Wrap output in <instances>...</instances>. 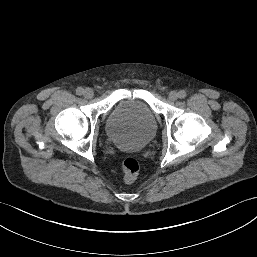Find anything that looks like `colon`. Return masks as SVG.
<instances>
[{
	"instance_id": "5ec220e1",
	"label": "colon",
	"mask_w": 257,
	"mask_h": 257,
	"mask_svg": "<svg viewBox=\"0 0 257 257\" xmlns=\"http://www.w3.org/2000/svg\"><path fill=\"white\" fill-rule=\"evenodd\" d=\"M124 181L126 183H132L139 170V164L134 158H126L122 165Z\"/></svg>"
}]
</instances>
